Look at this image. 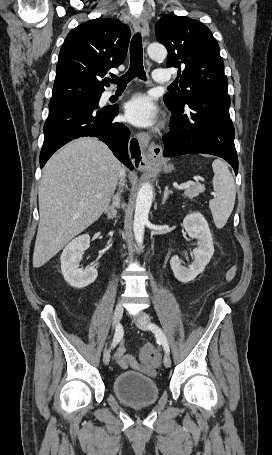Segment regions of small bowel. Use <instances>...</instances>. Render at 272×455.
I'll return each instance as SVG.
<instances>
[{"label":"small bowel","mask_w":272,"mask_h":455,"mask_svg":"<svg viewBox=\"0 0 272 455\" xmlns=\"http://www.w3.org/2000/svg\"><path fill=\"white\" fill-rule=\"evenodd\" d=\"M236 274V267H231L227 273H226V280L231 281L235 277ZM115 361L117 365L126 370L129 368L141 371L143 373H146L147 375L154 376L155 375V369L151 364H144V363H139L135 360L130 355L125 354V348L123 346H120L116 353H115Z\"/></svg>","instance_id":"obj_1"}]
</instances>
